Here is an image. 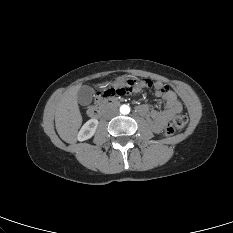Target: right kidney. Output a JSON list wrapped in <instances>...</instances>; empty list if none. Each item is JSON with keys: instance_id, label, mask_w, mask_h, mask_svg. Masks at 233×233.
<instances>
[{"instance_id": "obj_1", "label": "right kidney", "mask_w": 233, "mask_h": 233, "mask_svg": "<svg viewBox=\"0 0 233 233\" xmlns=\"http://www.w3.org/2000/svg\"><path fill=\"white\" fill-rule=\"evenodd\" d=\"M98 123L99 122L97 119L88 120L80 129L77 139L79 141H85V140L90 139L94 135L96 128L98 126Z\"/></svg>"}]
</instances>
